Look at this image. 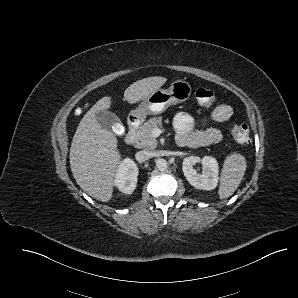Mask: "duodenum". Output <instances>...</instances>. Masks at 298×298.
I'll list each match as a JSON object with an SVG mask.
<instances>
[{
    "label": "duodenum",
    "mask_w": 298,
    "mask_h": 298,
    "mask_svg": "<svg viewBox=\"0 0 298 298\" xmlns=\"http://www.w3.org/2000/svg\"><path fill=\"white\" fill-rule=\"evenodd\" d=\"M138 126L139 119L137 117L130 118L128 122V131L125 135V142L127 144H136ZM176 142L181 147H198L202 145V141L199 137L185 133H178L176 136Z\"/></svg>",
    "instance_id": "duodenum-1"
}]
</instances>
